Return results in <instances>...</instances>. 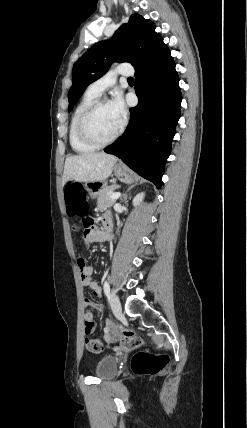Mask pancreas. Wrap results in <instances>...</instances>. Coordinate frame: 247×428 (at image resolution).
<instances>
[{"label":"pancreas","mask_w":247,"mask_h":428,"mask_svg":"<svg viewBox=\"0 0 247 428\" xmlns=\"http://www.w3.org/2000/svg\"><path fill=\"white\" fill-rule=\"evenodd\" d=\"M119 188V185H110V186H104L98 193V209L99 211H104L107 209V207L112 206L115 203V200L110 199V196L112 192Z\"/></svg>","instance_id":"1"}]
</instances>
